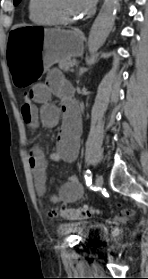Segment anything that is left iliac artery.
<instances>
[{"instance_id": "left-iliac-artery-1", "label": "left iliac artery", "mask_w": 148, "mask_h": 279, "mask_svg": "<svg viewBox=\"0 0 148 279\" xmlns=\"http://www.w3.org/2000/svg\"><path fill=\"white\" fill-rule=\"evenodd\" d=\"M84 177H85L87 186L90 187L91 184H92V173H91V171H90L89 169H87V170L85 171Z\"/></svg>"}]
</instances>
